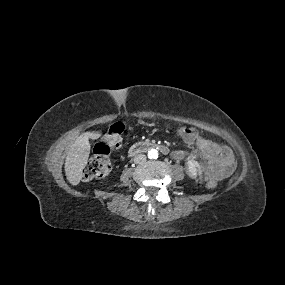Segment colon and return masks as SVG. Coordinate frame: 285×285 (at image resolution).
<instances>
[{
  "label": "colon",
  "instance_id": "1",
  "mask_svg": "<svg viewBox=\"0 0 285 285\" xmlns=\"http://www.w3.org/2000/svg\"><path fill=\"white\" fill-rule=\"evenodd\" d=\"M124 132V125L121 122L112 124L101 142L95 145L93 155L82 171L84 180L102 179L109 175L111 171V149L118 148L121 144V137ZM178 134L186 143H194L198 138L197 131L190 127H181ZM216 180H209L207 187L214 189L217 187Z\"/></svg>",
  "mask_w": 285,
  "mask_h": 285
}]
</instances>
